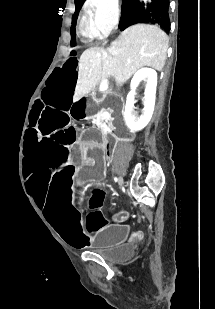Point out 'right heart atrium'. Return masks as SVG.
<instances>
[{"label":"right heart atrium","mask_w":215,"mask_h":309,"mask_svg":"<svg viewBox=\"0 0 215 309\" xmlns=\"http://www.w3.org/2000/svg\"><path fill=\"white\" fill-rule=\"evenodd\" d=\"M91 7H98L90 15L95 29L94 35L99 39L110 35L118 26L119 11L116 0H90Z\"/></svg>","instance_id":"d8ad5b80"}]
</instances>
